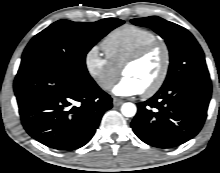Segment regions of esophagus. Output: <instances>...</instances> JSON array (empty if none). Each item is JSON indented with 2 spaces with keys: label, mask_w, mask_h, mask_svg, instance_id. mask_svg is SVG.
Wrapping results in <instances>:
<instances>
[{
  "label": "esophagus",
  "mask_w": 220,
  "mask_h": 173,
  "mask_svg": "<svg viewBox=\"0 0 220 173\" xmlns=\"http://www.w3.org/2000/svg\"><path fill=\"white\" fill-rule=\"evenodd\" d=\"M123 104V100L119 99V98H113V105L114 106H120Z\"/></svg>",
  "instance_id": "esophagus-1"
}]
</instances>
